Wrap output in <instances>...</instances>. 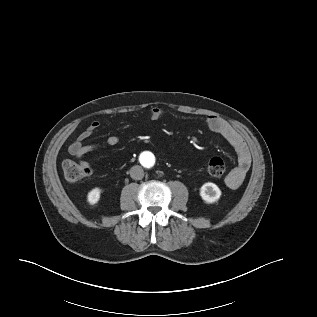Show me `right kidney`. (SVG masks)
Listing matches in <instances>:
<instances>
[{"instance_id":"1","label":"right kidney","mask_w":317,"mask_h":317,"mask_svg":"<svg viewBox=\"0 0 317 317\" xmlns=\"http://www.w3.org/2000/svg\"><path fill=\"white\" fill-rule=\"evenodd\" d=\"M100 193L101 191L99 188L92 189L87 195V201L89 204H96L99 201Z\"/></svg>"}]
</instances>
